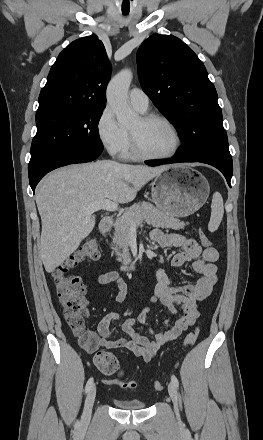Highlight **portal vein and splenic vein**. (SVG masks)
<instances>
[{
	"label": "portal vein and splenic vein",
	"mask_w": 263,
	"mask_h": 440,
	"mask_svg": "<svg viewBox=\"0 0 263 440\" xmlns=\"http://www.w3.org/2000/svg\"><path fill=\"white\" fill-rule=\"evenodd\" d=\"M100 209L113 212V211H116L118 209V204L115 203V202H112L111 200L106 199V200H103V201H100V202H97V203H93L91 205L83 207V210L86 213H93V212L98 211ZM131 228L135 229L136 225L132 224Z\"/></svg>",
	"instance_id": "1"
}]
</instances>
